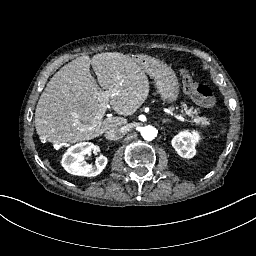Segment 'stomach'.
Masks as SVG:
<instances>
[{
    "label": "stomach",
    "mask_w": 256,
    "mask_h": 256,
    "mask_svg": "<svg viewBox=\"0 0 256 256\" xmlns=\"http://www.w3.org/2000/svg\"><path fill=\"white\" fill-rule=\"evenodd\" d=\"M164 69L156 72L153 76L157 92L161 99L167 104L177 102L180 94L179 80L171 68L163 64Z\"/></svg>",
    "instance_id": "stomach-1"
}]
</instances>
